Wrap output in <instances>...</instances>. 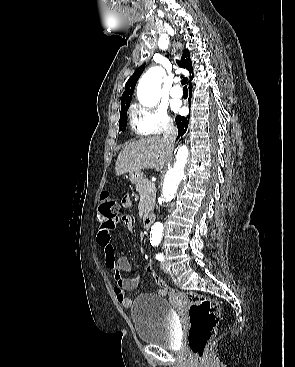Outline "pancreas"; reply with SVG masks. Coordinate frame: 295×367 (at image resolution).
Listing matches in <instances>:
<instances>
[{"instance_id": "obj_1", "label": "pancreas", "mask_w": 295, "mask_h": 367, "mask_svg": "<svg viewBox=\"0 0 295 367\" xmlns=\"http://www.w3.org/2000/svg\"><path fill=\"white\" fill-rule=\"evenodd\" d=\"M149 187L151 190L148 189ZM136 191L144 198V213L147 214L152 211L156 198L155 185L148 179L143 178L142 182L136 184Z\"/></svg>"}]
</instances>
